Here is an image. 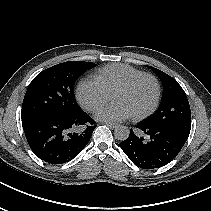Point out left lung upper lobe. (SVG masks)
<instances>
[{
    "mask_svg": "<svg viewBox=\"0 0 211 211\" xmlns=\"http://www.w3.org/2000/svg\"><path fill=\"white\" fill-rule=\"evenodd\" d=\"M149 67L161 79L163 95L156 113L143 122L171 128L188 137L191 129V111L184 90L171 76L152 66Z\"/></svg>",
    "mask_w": 211,
    "mask_h": 211,
    "instance_id": "left-lung-upper-lobe-1",
    "label": "left lung upper lobe"
}]
</instances>
